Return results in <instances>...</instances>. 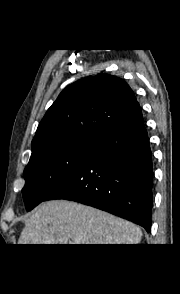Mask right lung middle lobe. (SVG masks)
<instances>
[{
    "mask_svg": "<svg viewBox=\"0 0 180 294\" xmlns=\"http://www.w3.org/2000/svg\"><path fill=\"white\" fill-rule=\"evenodd\" d=\"M98 141L74 139L44 148L31 156L22 189L26 210L47 197L80 166Z\"/></svg>",
    "mask_w": 180,
    "mask_h": 294,
    "instance_id": "right-lung-middle-lobe-1",
    "label": "right lung middle lobe"
}]
</instances>
